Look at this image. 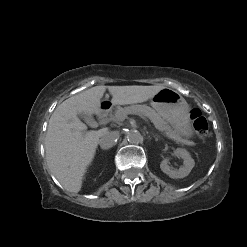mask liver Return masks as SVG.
<instances>
[{"mask_svg":"<svg viewBox=\"0 0 247 247\" xmlns=\"http://www.w3.org/2000/svg\"><path fill=\"white\" fill-rule=\"evenodd\" d=\"M163 85L155 86H95L61 103L53 112L45 139L46 160L50 172L69 192L81 190L87 167L93 161L100 131H86L87 126L77 117L100 111L106 89L113 105L145 102L154 97Z\"/></svg>","mask_w":247,"mask_h":247,"instance_id":"obj_1","label":"liver"}]
</instances>
